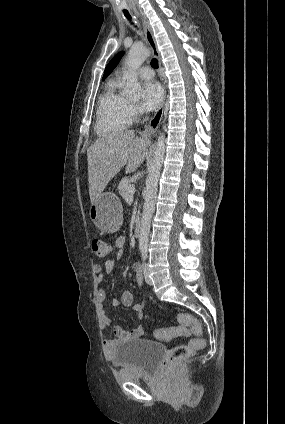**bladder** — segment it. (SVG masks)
Instances as JSON below:
<instances>
[{"mask_svg": "<svg viewBox=\"0 0 285 424\" xmlns=\"http://www.w3.org/2000/svg\"><path fill=\"white\" fill-rule=\"evenodd\" d=\"M166 348L163 344L148 339L128 340L115 349L114 362L128 374L153 373Z\"/></svg>", "mask_w": 285, "mask_h": 424, "instance_id": "1", "label": "bladder"}]
</instances>
